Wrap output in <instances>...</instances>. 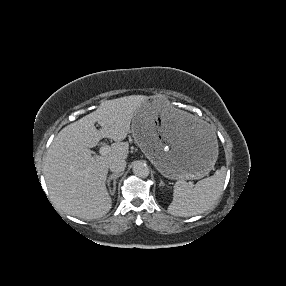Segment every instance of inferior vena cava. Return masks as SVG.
I'll list each match as a JSON object with an SVG mask.
<instances>
[{"label":"inferior vena cava","instance_id":"inferior-vena-cava-1","mask_svg":"<svg viewBox=\"0 0 286 286\" xmlns=\"http://www.w3.org/2000/svg\"><path fill=\"white\" fill-rule=\"evenodd\" d=\"M126 168V161L123 158H114L110 163H109V169L110 171L118 174L121 173L125 170Z\"/></svg>","mask_w":286,"mask_h":286}]
</instances>
